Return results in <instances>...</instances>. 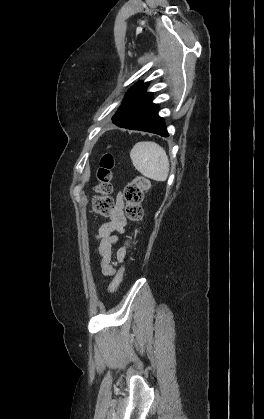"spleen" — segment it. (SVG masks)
<instances>
[{
	"label": "spleen",
	"instance_id": "1",
	"mask_svg": "<svg viewBox=\"0 0 264 419\" xmlns=\"http://www.w3.org/2000/svg\"><path fill=\"white\" fill-rule=\"evenodd\" d=\"M131 161L137 171L156 181H165L169 173V161L165 150L155 142L141 141L130 151Z\"/></svg>",
	"mask_w": 264,
	"mask_h": 419
}]
</instances>
